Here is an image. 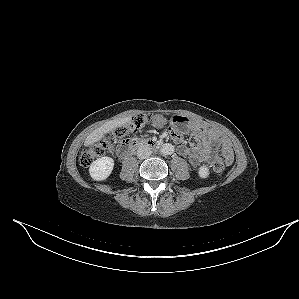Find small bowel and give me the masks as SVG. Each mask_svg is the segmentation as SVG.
I'll use <instances>...</instances> for the list:
<instances>
[{
  "mask_svg": "<svg viewBox=\"0 0 299 299\" xmlns=\"http://www.w3.org/2000/svg\"><path fill=\"white\" fill-rule=\"evenodd\" d=\"M194 132H198L201 135V142L197 145H179V154L186 156L190 163L197 167L201 164H213L218 157L217 152L220 149L224 158L225 164H230L233 161V150L229 142L214 129H203L195 124L192 125ZM171 137L175 142H181L180 133L172 129L170 131Z\"/></svg>",
  "mask_w": 299,
  "mask_h": 299,
  "instance_id": "1",
  "label": "small bowel"
}]
</instances>
